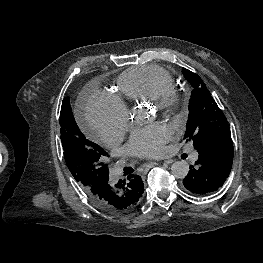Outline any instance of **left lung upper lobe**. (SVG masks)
<instances>
[{
    "label": "left lung upper lobe",
    "instance_id": "left-lung-upper-lobe-1",
    "mask_svg": "<svg viewBox=\"0 0 263 263\" xmlns=\"http://www.w3.org/2000/svg\"><path fill=\"white\" fill-rule=\"evenodd\" d=\"M183 75L193 87L184 139L192 140L198 150L218 137L231 136L227 119L202 79L185 68Z\"/></svg>",
    "mask_w": 263,
    "mask_h": 263
}]
</instances>
